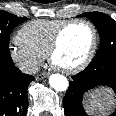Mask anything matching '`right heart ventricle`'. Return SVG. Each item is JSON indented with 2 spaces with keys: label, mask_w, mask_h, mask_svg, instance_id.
Instances as JSON below:
<instances>
[{
  "label": "right heart ventricle",
  "mask_w": 116,
  "mask_h": 116,
  "mask_svg": "<svg viewBox=\"0 0 116 116\" xmlns=\"http://www.w3.org/2000/svg\"><path fill=\"white\" fill-rule=\"evenodd\" d=\"M67 20L37 19L23 25L16 40L33 52L45 56L57 29Z\"/></svg>",
  "instance_id": "1"
}]
</instances>
